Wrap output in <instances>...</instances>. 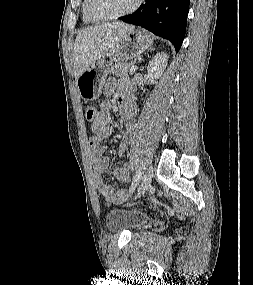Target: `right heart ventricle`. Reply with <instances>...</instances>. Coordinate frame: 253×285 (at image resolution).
Returning a JSON list of instances; mask_svg holds the SVG:
<instances>
[{
	"label": "right heart ventricle",
	"mask_w": 253,
	"mask_h": 285,
	"mask_svg": "<svg viewBox=\"0 0 253 285\" xmlns=\"http://www.w3.org/2000/svg\"><path fill=\"white\" fill-rule=\"evenodd\" d=\"M82 17H83V21L85 23H95L97 22V20H95L94 18H92L88 11H87V5H86V0L83 1L82 4Z\"/></svg>",
	"instance_id": "obj_1"
}]
</instances>
